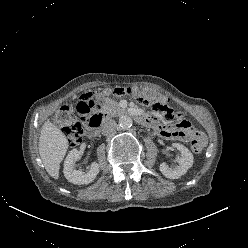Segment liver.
<instances>
[{
	"label": "liver",
	"instance_id": "obj_1",
	"mask_svg": "<svg viewBox=\"0 0 248 248\" xmlns=\"http://www.w3.org/2000/svg\"><path fill=\"white\" fill-rule=\"evenodd\" d=\"M38 149L46 171L51 177L58 179L60 163L68 149V140L50 121L42 126Z\"/></svg>",
	"mask_w": 248,
	"mask_h": 248
}]
</instances>
